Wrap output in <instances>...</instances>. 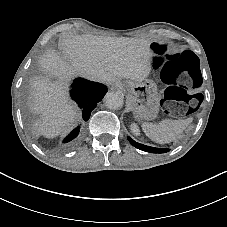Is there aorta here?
Instances as JSON below:
<instances>
[{"instance_id": "762f6f07", "label": "aorta", "mask_w": 227, "mask_h": 227, "mask_svg": "<svg viewBox=\"0 0 227 227\" xmlns=\"http://www.w3.org/2000/svg\"><path fill=\"white\" fill-rule=\"evenodd\" d=\"M124 97L120 92L111 91L105 95V105L107 108L116 110L122 108Z\"/></svg>"}]
</instances>
